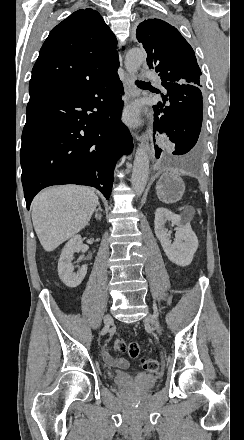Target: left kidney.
Returning <instances> with one entry per match:
<instances>
[{"instance_id":"1","label":"left kidney","mask_w":244,"mask_h":440,"mask_svg":"<svg viewBox=\"0 0 244 440\" xmlns=\"http://www.w3.org/2000/svg\"><path fill=\"white\" fill-rule=\"evenodd\" d=\"M172 222L175 228V242L169 240L172 232H167L164 224ZM155 234L161 242V246L169 260L177 266H189L198 248V238L194 234L189 222H184L182 216L173 214L166 208H157L154 220Z\"/></svg>"}]
</instances>
